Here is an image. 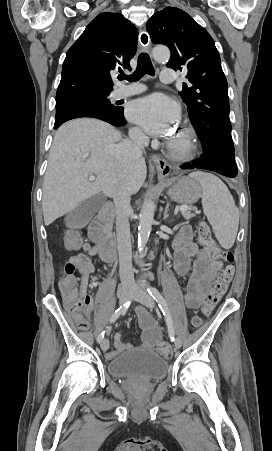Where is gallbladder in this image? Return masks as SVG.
<instances>
[{"mask_svg":"<svg viewBox=\"0 0 272 451\" xmlns=\"http://www.w3.org/2000/svg\"><path fill=\"white\" fill-rule=\"evenodd\" d=\"M101 206L102 204L95 202L94 198H88V200L81 202V204H78L72 212L67 214L65 218L66 226L71 227V229H78V227L86 226Z\"/></svg>","mask_w":272,"mask_h":451,"instance_id":"1","label":"gallbladder"}]
</instances>
